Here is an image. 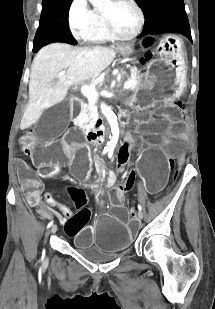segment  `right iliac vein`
<instances>
[{
  "label": "right iliac vein",
  "instance_id": "1",
  "mask_svg": "<svg viewBox=\"0 0 215 309\" xmlns=\"http://www.w3.org/2000/svg\"><path fill=\"white\" fill-rule=\"evenodd\" d=\"M56 230H57V225H53L51 227V232L54 234L56 232Z\"/></svg>",
  "mask_w": 215,
  "mask_h": 309
}]
</instances>
